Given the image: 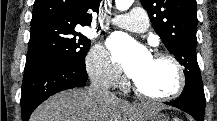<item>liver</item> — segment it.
I'll list each match as a JSON object with an SVG mask.
<instances>
[{
  "label": "liver",
  "instance_id": "obj_1",
  "mask_svg": "<svg viewBox=\"0 0 217 121\" xmlns=\"http://www.w3.org/2000/svg\"><path fill=\"white\" fill-rule=\"evenodd\" d=\"M156 111L148 104L132 105L118 98H97L88 89L59 92L43 102L29 121H141Z\"/></svg>",
  "mask_w": 217,
  "mask_h": 121
}]
</instances>
